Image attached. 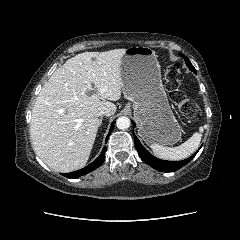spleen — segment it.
Wrapping results in <instances>:
<instances>
[{
  "label": "spleen",
  "instance_id": "3e777b00",
  "mask_svg": "<svg viewBox=\"0 0 240 240\" xmlns=\"http://www.w3.org/2000/svg\"><path fill=\"white\" fill-rule=\"evenodd\" d=\"M203 130V127H200V132L194 133L187 141H185L180 146L168 147L159 144H151L150 148L152 149L153 153L161 159L172 161L185 159L189 157L192 153H194L199 147Z\"/></svg>",
  "mask_w": 240,
  "mask_h": 240
}]
</instances>
